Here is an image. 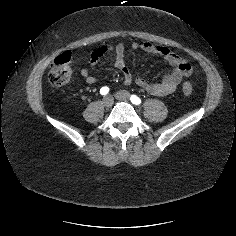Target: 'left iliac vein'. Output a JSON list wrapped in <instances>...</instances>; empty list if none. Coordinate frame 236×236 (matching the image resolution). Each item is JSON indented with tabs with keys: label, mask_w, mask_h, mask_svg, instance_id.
I'll use <instances>...</instances> for the list:
<instances>
[{
	"label": "left iliac vein",
	"mask_w": 236,
	"mask_h": 236,
	"mask_svg": "<svg viewBox=\"0 0 236 236\" xmlns=\"http://www.w3.org/2000/svg\"><path fill=\"white\" fill-rule=\"evenodd\" d=\"M116 99L120 101H129L130 100V93L127 91H118L115 93Z\"/></svg>",
	"instance_id": "4c4485c4"
}]
</instances>
